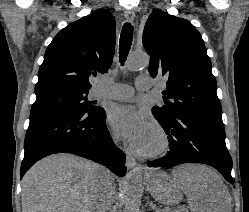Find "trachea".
<instances>
[{
  "instance_id": "1",
  "label": "trachea",
  "mask_w": 249,
  "mask_h": 212,
  "mask_svg": "<svg viewBox=\"0 0 249 212\" xmlns=\"http://www.w3.org/2000/svg\"><path fill=\"white\" fill-rule=\"evenodd\" d=\"M132 37L133 26L130 23H125L122 28L119 44V58L121 64H124V62L126 61L132 45Z\"/></svg>"
}]
</instances>
